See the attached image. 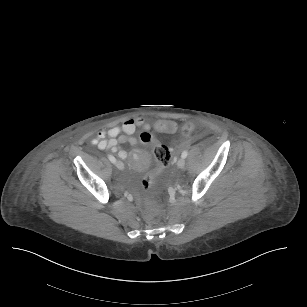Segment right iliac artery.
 Instances as JSON below:
<instances>
[{
	"instance_id": "right-iliac-artery-1",
	"label": "right iliac artery",
	"mask_w": 307,
	"mask_h": 307,
	"mask_svg": "<svg viewBox=\"0 0 307 307\" xmlns=\"http://www.w3.org/2000/svg\"><path fill=\"white\" fill-rule=\"evenodd\" d=\"M108 158H109V160H110L112 163H115V162H116V159H115L114 156L108 155Z\"/></svg>"
}]
</instances>
